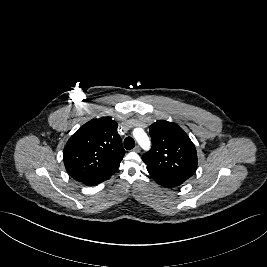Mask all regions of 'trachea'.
I'll return each mask as SVG.
<instances>
[{
  "mask_svg": "<svg viewBox=\"0 0 267 267\" xmlns=\"http://www.w3.org/2000/svg\"><path fill=\"white\" fill-rule=\"evenodd\" d=\"M135 146V141L132 137H126L125 140H124V147L127 149V150H131L133 149Z\"/></svg>",
  "mask_w": 267,
  "mask_h": 267,
  "instance_id": "3493384b",
  "label": "trachea"
}]
</instances>
